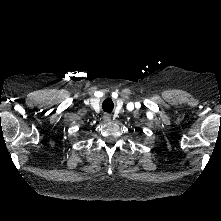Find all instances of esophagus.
<instances>
[{
	"label": "esophagus",
	"instance_id": "34e87169",
	"mask_svg": "<svg viewBox=\"0 0 221 221\" xmlns=\"http://www.w3.org/2000/svg\"><path fill=\"white\" fill-rule=\"evenodd\" d=\"M104 120L107 121V122L110 121L111 120L110 115L109 114H105L104 115Z\"/></svg>",
	"mask_w": 221,
	"mask_h": 221
}]
</instances>
